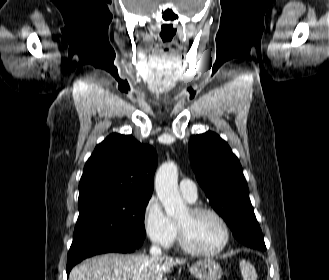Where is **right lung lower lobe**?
I'll list each match as a JSON object with an SVG mask.
<instances>
[{"label":"right lung lower lobe","mask_w":329,"mask_h":280,"mask_svg":"<svg viewBox=\"0 0 329 280\" xmlns=\"http://www.w3.org/2000/svg\"><path fill=\"white\" fill-rule=\"evenodd\" d=\"M136 247L124 246L109 242H99L87 246L85 249L76 253L71 259L67 260V275L74 265L81 262L83 259L91 257L96 254H102L107 252H121L130 253L133 252Z\"/></svg>","instance_id":"right-lung-lower-lobe-1"}]
</instances>
